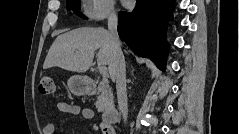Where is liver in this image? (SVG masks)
I'll use <instances>...</instances> for the list:
<instances>
[{
  "instance_id": "6515ba94",
  "label": "liver",
  "mask_w": 239,
  "mask_h": 134,
  "mask_svg": "<svg viewBox=\"0 0 239 134\" xmlns=\"http://www.w3.org/2000/svg\"><path fill=\"white\" fill-rule=\"evenodd\" d=\"M98 49L97 64L110 66L113 60V43L109 31L101 27L77 28L55 39L43 68L60 67L72 72H86L92 65L95 51Z\"/></svg>"
}]
</instances>
